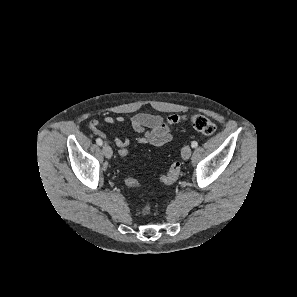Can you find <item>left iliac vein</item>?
Segmentation results:
<instances>
[{
	"mask_svg": "<svg viewBox=\"0 0 297 297\" xmlns=\"http://www.w3.org/2000/svg\"><path fill=\"white\" fill-rule=\"evenodd\" d=\"M181 155H182V158L184 160H188L191 156V148L189 145H185L183 148H182V152H181Z\"/></svg>",
	"mask_w": 297,
	"mask_h": 297,
	"instance_id": "1",
	"label": "left iliac vein"
}]
</instances>
